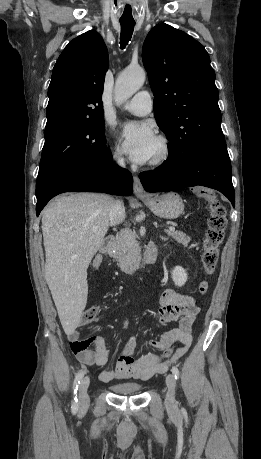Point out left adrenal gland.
Segmentation results:
<instances>
[{
    "label": "left adrenal gland",
    "instance_id": "left-adrenal-gland-1",
    "mask_svg": "<svg viewBox=\"0 0 261 459\" xmlns=\"http://www.w3.org/2000/svg\"><path fill=\"white\" fill-rule=\"evenodd\" d=\"M162 240L167 241V238L161 237Z\"/></svg>",
    "mask_w": 261,
    "mask_h": 459
}]
</instances>
